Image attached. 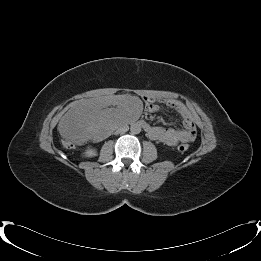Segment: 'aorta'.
Returning <instances> with one entry per match:
<instances>
[{"instance_id": "1", "label": "aorta", "mask_w": 261, "mask_h": 261, "mask_svg": "<svg viewBox=\"0 0 261 261\" xmlns=\"http://www.w3.org/2000/svg\"><path fill=\"white\" fill-rule=\"evenodd\" d=\"M130 131L132 134H139L141 132V125L138 123L131 124Z\"/></svg>"}]
</instances>
